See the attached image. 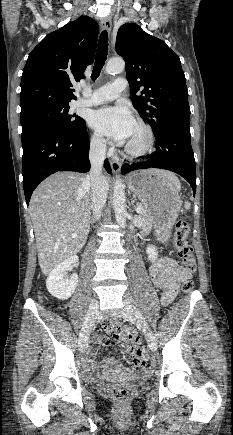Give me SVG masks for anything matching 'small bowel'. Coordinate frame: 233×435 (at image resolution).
<instances>
[{
	"mask_svg": "<svg viewBox=\"0 0 233 435\" xmlns=\"http://www.w3.org/2000/svg\"><path fill=\"white\" fill-rule=\"evenodd\" d=\"M191 277L183 266L171 259L156 260L150 267L151 283L162 290L160 302L163 306H168L175 299L180 283ZM105 334L98 335L91 351L86 360V373L89 378H93L95 373L100 374H119L125 373L135 377L142 376L146 368V356H140L135 352L127 349L124 350L132 355L131 366L125 367L114 357H105L100 365H97L96 357L101 347H113L114 341L127 340L132 338L133 342L140 344V338L133 329L122 327L113 322H107L103 325Z\"/></svg>",
	"mask_w": 233,
	"mask_h": 435,
	"instance_id": "obj_1",
	"label": "small bowel"
}]
</instances>
